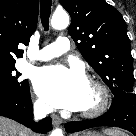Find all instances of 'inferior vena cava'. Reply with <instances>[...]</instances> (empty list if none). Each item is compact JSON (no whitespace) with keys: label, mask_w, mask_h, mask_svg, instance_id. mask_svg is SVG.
I'll return each instance as SVG.
<instances>
[{"label":"inferior vena cava","mask_w":136,"mask_h":136,"mask_svg":"<svg viewBox=\"0 0 136 136\" xmlns=\"http://www.w3.org/2000/svg\"><path fill=\"white\" fill-rule=\"evenodd\" d=\"M52 111L53 108L44 103H36L34 105V116L36 120L46 117V115Z\"/></svg>","instance_id":"602c4592"}]
</instances>
